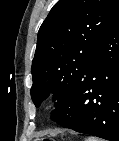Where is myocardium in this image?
Listing matches in <instances>:
<instances>
[{
  "mask_svg": "<svg viewBox=\"0 0 119 141\" xmlns=\"http://www.w3.org/2000/svg\"><path fill=\"white\" fill-rule=\"evenodd\" d=\"M54 105V101L51 98H46L42 102V109L46 112L50 111Z\"/></svg>",
  "mask_w": 119,
  "mask_h": 141,
  "instance_id": "f54148a6",
  "label": "myocardium"
}]
</instances>
